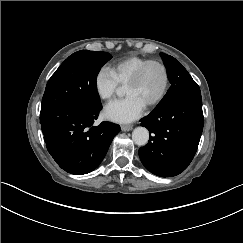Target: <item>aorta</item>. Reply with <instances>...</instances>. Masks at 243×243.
I'll list each match as a JSON object with an SVG mask.
<instances>
[{"mask_svg":"<svg viewBox=\"0 0 243 243\" xmlns=\"http://www.w3.org/2000/svg\"><path fill=\"white\" fill-rule=\"evenodd\" d=\"M117 95L122 96L121 92ZM132 140L138 146H144L149 140V131L145 127H136L132 132Z\"/></svg>","mask_w":243,"mask_h":243,"instance_id":"aorta-1","label":"aorta"}]
</instances>
